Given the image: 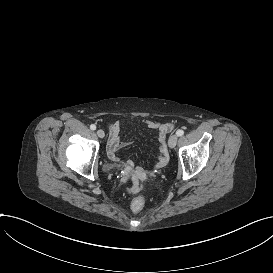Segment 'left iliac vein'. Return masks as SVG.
Here are the masks:
<instances>
[{
	"label": "left iliac vein",
	"mask_w": 273,
	"mask_h": 273,
	"mask_svg": "<svg viewBox=\"0 0 273 273\" xmlns=\"http://www.w3.org/2000/svg\"><path fill=\"white\" fill-rule=\"evenodd\" d=\"M177 141H178V136L176 134L171 135L168 140V146L170 148H174L176 146Z\"/></svg>",
	"instance_id": "4c4485c4"
}]
</instances>
